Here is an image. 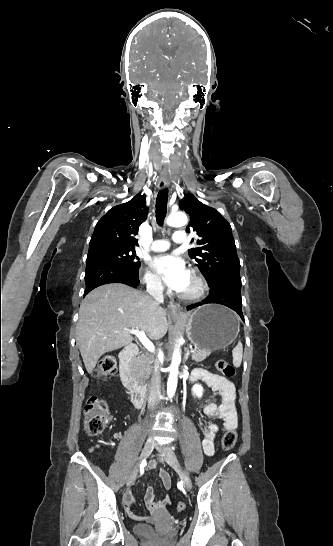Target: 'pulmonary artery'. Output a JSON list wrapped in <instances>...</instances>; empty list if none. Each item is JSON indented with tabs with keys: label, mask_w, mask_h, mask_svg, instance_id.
<instances>
[{
	"label": "pulmonary artery",
	"mask_w": 333,
	"mask_h": 546,
	"mask_svg": "<svg viewBox=\"0 0 333 546\" xmlns=\"http://www.w3.org/2000/svg\"><path fill=\"white\" fill-rule=\"evenodd\" d=\"M173 241L181 244L187 241V235L184 231L178 230L173 235ZM170 243L166 239L155 240L152 242L150 249L153 252H163L169 249Z\"/></svg>",
	"instance_id": "pulmonary-artery-1"
}]
</instances>
